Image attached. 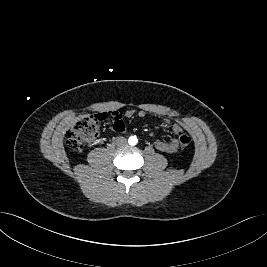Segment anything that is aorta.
I'll list each match as a JSON object with an SVG mask.
<instances>
[{
	"label": "aorta",
	"instance_id": "1",
	"mask_svg": "<svg viewBox=\"0 0 267 267\" xmlns=\"http://www.w3.org/2000/svg\"><path fill=\"white\" fill-rule=\"evenodd\" d=\"M137 142H138V139H137L136 136H131V137H129V139H128V143H129L130 145H136Z\"/></svg>",
	"mask_w": 267,
	"mask_h": 267
}]
</instances>
